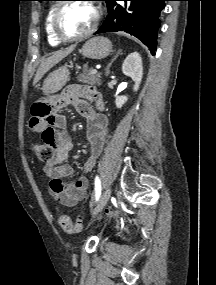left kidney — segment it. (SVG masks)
I'll return each mask as SVG.
<instances>
[{
	"label": "left kidney",
	"mask_w": 216,
	"mask_h": 285,
	"mask_svg": "<svg viewBox=\"0 0 216 285\" xmlns=\"http://www.w3.org/2000/svg\"><path fill=\"white\" fill-rule=\"evenodd\" d=\"M122 72L132 78L135 83L133 90L137 91L143 76L142 59L139 53L133 52L126 57L122 65ZM127 100L128 97L126 96H117L115 99L116 107L121 108Z\"/></svg>",
	"instance_id": "5707ae66"
}]
</instances>
